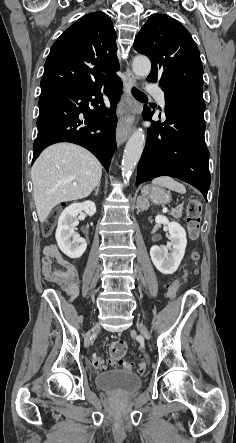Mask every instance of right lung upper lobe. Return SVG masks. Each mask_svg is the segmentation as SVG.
Listing matches in <instances>:
<instances>
[{
	"instance_id": "1",
	"label": "right lung upper lobe",
	"mask_w": 236,
	"mask_h": 443,
	"mask_svg": "<svg viewBox=\"0 0 236 443\" xmlns=\"http://www.w3.org/2000/svg\"><path fill=\"white\" fill-rule=\"evenodd\" d=\"M116 33L103 12L89 13L66 29L51 47L41 89L91 86L116 75Z\"/></svg>"
}]
</instances>
